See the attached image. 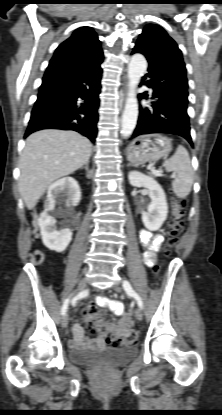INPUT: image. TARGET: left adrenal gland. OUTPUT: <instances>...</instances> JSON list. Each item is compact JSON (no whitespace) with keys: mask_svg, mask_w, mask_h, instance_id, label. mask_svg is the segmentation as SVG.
<instances>
[{"mask_svg":"<svg viewBox=\"0 0 222 415\" xmlns=\"http://www.w3.org/2000/svg\"><path fill=\"white\" fill-rule=\"evenodd\" d=\"M128 166H132V164H131V163H129V164H128Z\"/></svg>","mask_w":222,"mask_h":415,"instance_id":"left-adrenal-gland-1","label":"left adrenal gland"}]
</instances>
